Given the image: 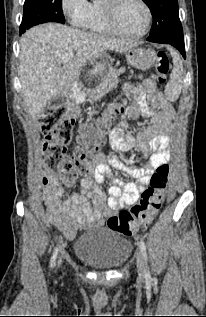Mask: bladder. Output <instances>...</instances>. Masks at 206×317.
Masks as SVG:
<instances>
[{
    "label": "bladder",
    "instance_id": "1",
    "mask_svg": "<svg viewBox=\"0 0 206 317\" xmlns=\"http://www.w3.org/2000/svg\"><path fill=\"white\" fill-rule=\"evenodd\" d=\"M131 242L113 230L92 227L85 230L75 244V256L95 270H112L131 254Z\"/></svg>",
    "mask_w": 206,
    "mask_h": 317
}]
</instances>
